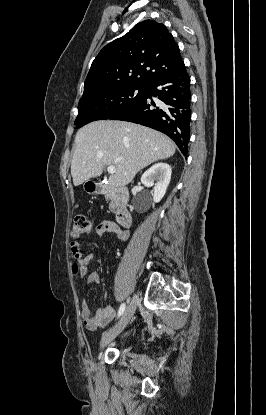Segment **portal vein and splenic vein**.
Segmentation results:
<instances>
[{
	"mask_svg": "<svg viewBox=\"0 0 266 415\" xmlns=\"http://www.w3.org/2000/svg\"><path fill=\"white\" fill-rule=\"evenodd\" d=\"M107 171H108L109 174H114L116 172V169L113 165H109L107 167Z\"/></svg>",
	"mask_w": 266,
	"mask_h": 415,
	"instance_id": "obj_1",
	"label": "portal vein and splenic vein"
}]
</instances>
